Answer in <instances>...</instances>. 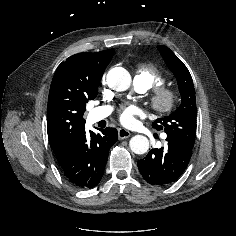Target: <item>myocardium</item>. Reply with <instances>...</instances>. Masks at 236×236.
Segmentation results:
<instances>
[{"label": "myocardium", "instance_id": "f54148a6", "mask_svg": "<svg viewBox=\"0 0 236 236\" xmlns=\"http://www.w3.org/2000/svg\"><path fill=\"white\" fill-rule=\"evenodd\" d=\"M177 98V91L174 88L158 86L149 96V105L154 113L167 114L174 108Z\"/></svg>", "mask_w": 236, "mask_h": 236}]
</instances>
